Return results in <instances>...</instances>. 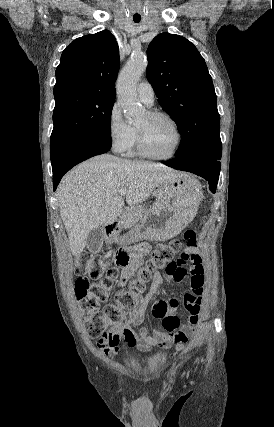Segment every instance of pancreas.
<instances>
[{
    "mask_svg": "<svg viewBox=\"0 0 274 427\" xmlns=\"http://www.w3.org/2000/svg\"><path fill=\"white\" fill-rule=\"evenodd\" d=\"M144 215V206H130L126 208L122 217H120V227H131L134 223H137L139 219H142Z\"/></svg>",
    "mask_w": 274,
    "mask_h": 427,
    "instance_id": "obj_1",
    "label": "pancreas"
}]
</instances>
